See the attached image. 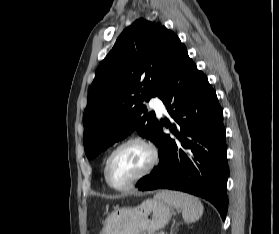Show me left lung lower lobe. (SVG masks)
<instances>
[{
  "label": "left lung lower lobe",
  "instance_id": "obj_1",
  "mask_svg": "<svg viewBox=\"0 0 279 234\" xmlns=\"http://www.w3.org/2000/svg\"><path fill=\"white\" fill-rule=\"evenodd\" d=\"M176 125L160 122L156 146L159 165L140 179L141 191L175 189L210 201L226 217L227 148L223 111L207 77L182 47L158 92ZM169 127L176 138L163 134Z\"/></svg>",
  "mask_w": 279,
  "mask_h": 234
}]
</instances>
